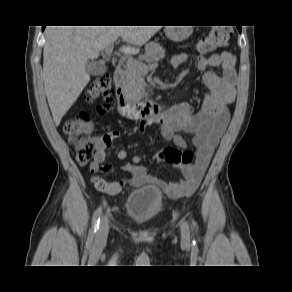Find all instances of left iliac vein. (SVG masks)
<instances>
[{
	"mask_svg": "<svg viewBox=\"0 0 292 292\" xmlns=\"http://www.w3.org/2000/svg\"><path fill=\"white\" fill-rule=\"evenodd\" d=\"M180 229H181L182 239L184 241H188L189 240V231H188V227L184 221L181 222Z\"/></svg>",
	"mask_w": 292,
	"mask_h": 292,
	"instance_id": "4c4485c4",
	"label": "left iliac vein"
}]
</instances>
